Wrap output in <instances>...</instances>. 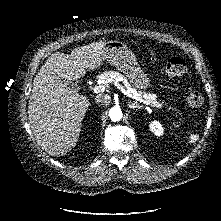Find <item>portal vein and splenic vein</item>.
<instances>
[{
	"mask_svg": "<svg viewBox=\"0 0 221 221\" xmlns=\"http://www.w3.org/2000/svg\"><path fill=\"white\" fill-rule=\"evenodd\" d=\"M115 86H116L118 89H120V91H121L124 95H126V96H128V97H130V98H132V99H135L136 101L142 102V103H144V104L147 105V106L151 105L148 101H145L144 99L140 98L136 93H131L130 90H125L119 83L115 82ZM105 87H106V86H104V85H99V86H96V87L93 89V91H94V92L104 91V90H105ZM151 106H152V105H151ZM155 107L161 108V105H160V104H156Z\"/></svg>",
	"mask_w": 221,
	"mask_h": 221,
	"instance_id": "obj_1",
	"label": "portal vein and splenic vein"
}]
</instances>
